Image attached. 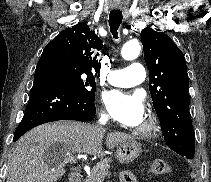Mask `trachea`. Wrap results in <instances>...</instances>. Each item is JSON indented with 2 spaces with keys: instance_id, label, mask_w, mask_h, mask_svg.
Instances as JSON below:
<instances>
[{
  "instance_id": "3493384b",
  "label": "trachea",
  "mask_w": 211,
  "mask_h": 182,
  "mask_svg": "<svg viewBox=\"0 0 211 182\" xmlns=\"http://www.w3.org/2000/svg\"><path fill=\"white\" fill-rule=\"evenodd\" d=\"M122 22V12L119 10H112L109 15L110 31L115 39L118 38V28Z\"/></svg>"
}]
</instances>
